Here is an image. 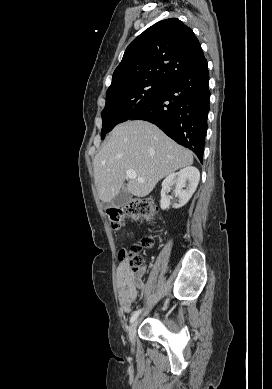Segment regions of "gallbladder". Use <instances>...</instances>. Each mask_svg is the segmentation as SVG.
<instances>
[{"instance_id": "gallbladder-1", "label": "gallbladder", "mask_w": 272, "mask_h": 389, "mask_svg": "<svg viewBox=\"0 0 272 389\" xmlns=\"http://www.w3.org/2000/svg\"><path fill=\"white\" fill-rule=\"evenodd\" d=\"M131 194L128 192L126 187H123L120 192L113 198L112 201L106 203L107 208H120L125 206L131 201Z\"/></svg>"}]
</instances>
